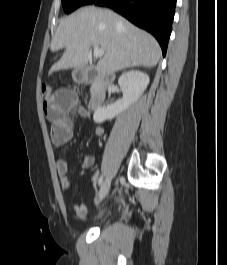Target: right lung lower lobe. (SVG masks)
I'll use <instances>...</instances> for the list:
<instances>
[{"label": "right lung lower lobe", "mask_w": 227, "mask_h": 265, "mask_svg": "<svg viewBox=\"0 0 227 265\" xmlns=\"http://www.w3.org/2000/svg\"><path fill=\"white\" fill-rule=\"evenodd\" d=\"M177 0H94L92 4L110 7L138 27L150 32L167 51Z\"/></svg>", "instance_id": "obj_1"}]
</instances>
